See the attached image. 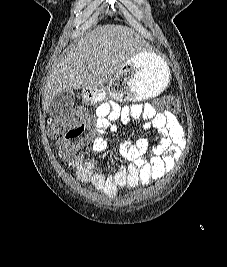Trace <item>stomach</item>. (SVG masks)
<instances>
[{"label":"stomach","mask_w":227,"mask_h":267,"mask_svg":"<svg viewBox=\"0 0 227 267\" xmlns=\"http://www.w3.org/2000/svg\"><path fill=\"white\" fill-rule=\"evenodd\" d=\"M170 79L167 63L156 53L142 51L132 57L108 83V87L91 85L84 93L89 103H106L107 99L145 101L162 93ZM117 96V97H115Z\"/></svg>","instance_id":"stomach-1"}]
</instances>
